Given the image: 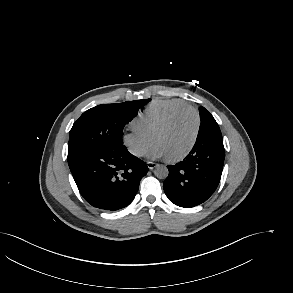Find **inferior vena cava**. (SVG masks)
<instances>
[{
  "mask_svg": "<svg viewBox=\"0 0 293 293\" xmlns=\"http://www.w3.org/2000/svg\"><path fill=\"white\" fill-rule=\"evenodd\" d=\"M134 154L137 155V156H141L142 155V152L140 150H135L134 151Z\"/></svg>",
  "mask_w": 293,
  "mask_h": 293,
  "instance_id": "inferior-vena-cava-1",
  "label": "inferior vena cava"
}]
</instances>
